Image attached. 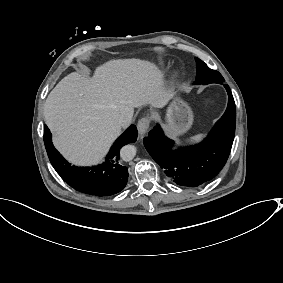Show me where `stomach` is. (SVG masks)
<instances>
[{"mask_svg":"<svg viewBox=\"0 0 283 283\" xmlns=\"http://www.w3.org/2000/svg\"><path fill=\"white\" fill-rule=\"evenodd\" d=\"M167 133L175 137L185 133L193 123V112L187 103L175 98L167 108Z\"/></svg>","mask_w":283,"mask_h":283,"instance_id":"0dacf381","label":"stomach"}]
</instances>
